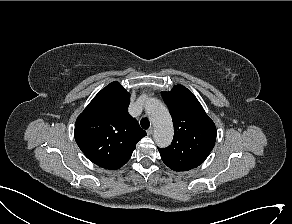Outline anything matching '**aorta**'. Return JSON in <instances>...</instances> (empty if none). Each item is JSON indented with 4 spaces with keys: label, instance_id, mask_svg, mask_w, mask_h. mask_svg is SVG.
<instances>
[{
    "label": "aorta",
    "instance_id": "762f6f07",
    "mask_svg": "<svg viewBox=\"0 0 292 224\" xmlns=\"http://www.w3.org/2000/svg\"><path fill=\"white\" fill-rule=\"evenodd\" d=\"M146 112L151 119L154 130V141L158 147L165 148L173 139L174 129L167 107L158 99L150 98L145 104Z\"/></svg>",
    "mask_w": 292,
    "mask_h": 224
}]
</instances>
